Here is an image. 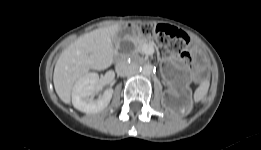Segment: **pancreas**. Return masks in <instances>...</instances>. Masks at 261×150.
Instances as JSON below:
<instances>
[{
  "mask_svg": "<svg viewBox=\"0 0 261 150\" xmlns=\"http://www.w3.org/2000/svg\"><path fill=\"white\" fill-rule=\"evenodd\" d=\"M135 45H136V48H137V50L140 52V53H142L143 54V46L145 45V44H149V45H151V46H153V44H152V42L150 41V40H147V39H145V38H137V39H135Z\"/></svg>",
  "mask_w": 261,
  "mask_h": 150,
  "instance_id": "cf45deb5",
  "label": "pancreas"
}]
</instances>
